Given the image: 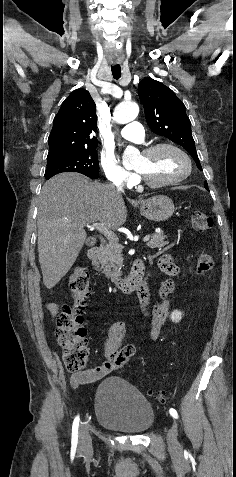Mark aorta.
<instances>
[{"label": "aorta", "instance_id": "obj_1", "mask_svg": "<svg viewBox=\"0 0 236 477\" xmlns=\"http://www.w3.org/2000/svg\"><path fill=\"white\" fill-rule=\"evenodd\" d=\"M139 113V107L135 102H122L114 111V119L121 124L133 121ZM137 153L133 147H128L123 154V160H130Z\"/></svg>", "mask_w": 236, "mask_h": 477}]
</instances>
